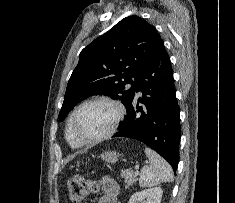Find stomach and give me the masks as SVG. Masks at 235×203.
Instances as JSON below:
<instances>
[{
	"label": "stomach",
	"mask_w": 235,
	"mask_h": 203,
	"mask_svg": "<svg viewBox=\"0 0 235 203\" xmlns=\"http://www.w3.org/2000/svg\"><path fill=\"white\" fill-rule=\"evenodd\" d=\"M102 159L109 163H114L118 160V154L115 151H106L102 154Z\"/></svg>",
	"instance_id": "0dacf381"
}]
</instances>
